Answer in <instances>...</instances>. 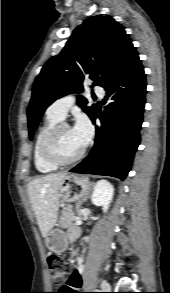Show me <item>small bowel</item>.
Listing matches in <instances>:
<instances>
[{"label": "small bowel", "instance_id": "obj_1", "mask_svg": "<svg viewBox=\"0 0 170 293\" xmlns=\"http://www.w3.org/2000/svg\"><path fill=\"white\" fill-rule=\"evenodd\" d=\"M80 238V232L78 230H71L69 232V239L74 241ZM84 267L82 264H79L75 269V274L73 279L71 280V286L74 288H81L83 286L82 279H83Z\"/></svg>", "mask_w": 170, "mask_h": 293}]
</instances>
